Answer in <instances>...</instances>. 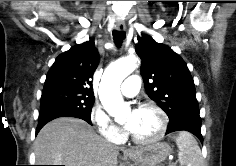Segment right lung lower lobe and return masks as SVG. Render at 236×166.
I'll return each mask as SVG.
<instances>
[{
    "mask_svg": "<svg viewBox=\"0 0 236 166\" xmlns=\"http://www.w3.org/2000/svg\"><path fill=\"white\" fill-rule=\"evenodd\" d=\"M65 116L80 118V119L85 120V121L88 122L89 124H92L90 119H88V118H86V117H84L83 115H80V114L70 113V114H66ZM51 120H53V119L44 120V121L39 122V123H38V126H37V129H36V135H37V133L40 131V129H41L46 123H48V122L51 121Z\"/></svg>",
    "mask_w": 236,
    "mask_h": 166,
    "instance_id": "right-lung-lower-lobe-1",
    "label": "right lung lower lobe"
}]
</instances>
